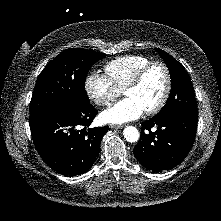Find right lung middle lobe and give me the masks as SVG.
I'll return each instance as SVG.
<instances>
[{"instance_id":"right-lung-middle-lobe-1","label":"right lung middle lobe","mask_w":221,"mask_h":221,"mask_svg":"<svg viewBox=\"0 0 221 221\" xmlns=\"http://www.w3.org/2000/svg\"><path fill=\"white\" fill-rule=\"evenodd\" d=\"M105 56L88 49L70 48L54 58L38 76L30 102V123L62 105H88L86 74Z\"/></svg>"}]
</instances>
